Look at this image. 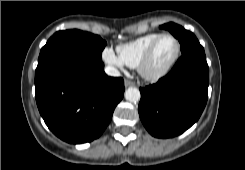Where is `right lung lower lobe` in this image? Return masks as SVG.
<instances>
[{
  "label": "right lung lower lobe",
  "instance_id": "1",
  "mask_svg": "<svg viewBox=\"0 0 245 170\" xmlns=\"http://www.w3.org/2000/svg\"><path fill=\"white\" fill-rule=\"evenodd\" d=\"M123 94V79L107 76L102 60L67 57L35 76L42 118L57 137L70 144L97 139Z\"/></svg>",
  "mask_w": 245,
  "mask_h": 170
}]
</instances>
